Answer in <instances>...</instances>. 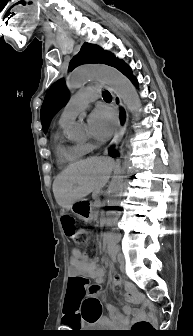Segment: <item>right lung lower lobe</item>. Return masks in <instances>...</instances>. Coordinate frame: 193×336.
I'll return each mask as SVG.
<instances>
[{
  "label": "right lung lower lobe",
  "instance_id": "right-lung-lower-lobe-1",
  "mask_svg": "<svg viewBox=\"0 0 193 336\" xmlns=\"http://www.w3.org/2000/svg\"><path fill=\"white\" fill-rule=\"evenodd\" d=\"M110 155L115 157V156H117V153L114 150H112V151H110Z\"/></svg>",
  "mask_w": 193,
  "mask_h": 336
}]
</instances>
